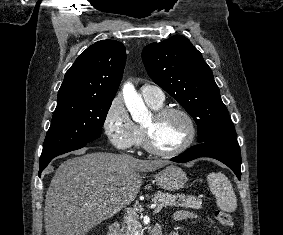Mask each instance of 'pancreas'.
Segmentation results:
<instances>
[{"instance_id":"1","label":"pancreas","mask_w":283,"mask_h":235,"mask_svg":"<svg viewBox=\"0 0 283 235\" xmlns=\"http://www.w3.org/2000/svg\"><path fill=\"white\" fill-rule=\"evenodd\" d=\"M152 201L157 204H163L164 207L167 206H180L183 208L200 209L201 200L185 195H170L168 193H156L152 198ZM138 215H128L123 221L121 235H140L142 226L138 220Z\"/></svg>"}]
</instances>
